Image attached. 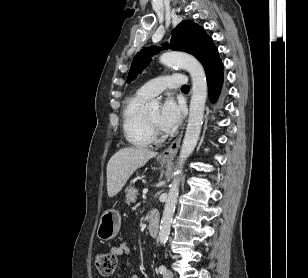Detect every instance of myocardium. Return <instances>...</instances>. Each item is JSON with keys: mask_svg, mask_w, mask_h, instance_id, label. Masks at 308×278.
<instances>
[{"mask_svg": "<svg viewBox=\"0 0 308 278\" xmlns=\"http://www.w3.org/2000/svg\"><path fill=\"white\" fill-rule=\"evenodd\" d=\"M145 119H146V122L147 124L149 125V127L154 130L156 128V124L152 123L148 118L147 116H145Z\"/></svg>", "mask_w": 308, "mask_h": 278, "instance_id": "f54148a6", "label": "myocardium"}]
</instances>
